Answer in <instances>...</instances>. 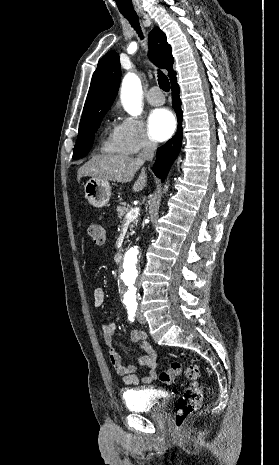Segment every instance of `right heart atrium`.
<instances>
[{
	"label": "right heart atrium",
	"instance_id": "obj_1",
	"mask_svg": "<svg viewBox=\"0 0 279 465\" xmlns=\"http://www.w3.org/2000/svg\"><path fill=\"white\" fill-rule=\"evenodd\" d=\"M118 141L129 154H136L156 147L155 141L147 133L140 119L123 116L115 128Z\"/></svg>",
	"mask_w": 279,
	"mask_h": 465
}]
</instances>
